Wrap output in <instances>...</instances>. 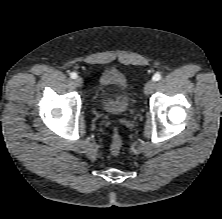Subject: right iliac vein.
<instances>
[{
	"mask_svg": "<svg viewBox=\"0 0 222 219\" xmlns=\"http://www.w3.org/2000/svg\"><path fill=\"white\" fill-rule=\"evenodd\" d=\"M83 79L81 77H77L75 80H74V84L77 86V87H82L83 86Z\"/></svg>",
	"mask_w": 222,
	"mask_h": 219,
	"instance_id": "1",
	"label": "right iliac vein"
}]
</instances>
